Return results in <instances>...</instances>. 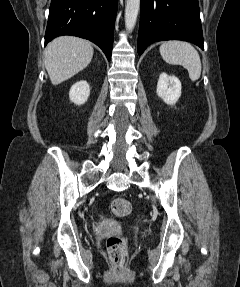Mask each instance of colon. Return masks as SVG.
Returning a JSON list of instances; mask_svg holds the SVG:
<instances>
[{
    "label": "colon",
    "instance_id": "1",
    "mask_svg": "<svg viewBox=\"0 0 240 287\" xmlns=\"http://www.w3.org/2000/svg\"><path fill=\"white\" fill-rule=\"evenodd\" d=\"M131 203L124 198H116L111 203V211L116 217H125L130 214ZM106 248L111 264L120 269L128 257L127 241L123 237L112 236L107 239Z\"/></svg>",
    "mask_w": 240,
    "mask_h": 287
}]
</instances>
